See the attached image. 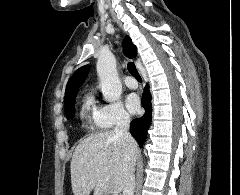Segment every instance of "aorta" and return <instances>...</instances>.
<instances>
[{
  "label": "aorta",
  "instance_id": "aorta-1",
  "mask_svg": "<svg viewBox=\"0 0 240 195\" xmlns=\"http://www.w3.org/2000/svg\"><path fill=\"white\" fill-rule=\"evenodd\" d=\"M102 94L106 101H116L122 94V84L119 80L116 58L111 52H102L96 64Z\"/></svg>",
  "mask_w": 240,
  "mask_h": 195
}]
</instances>
